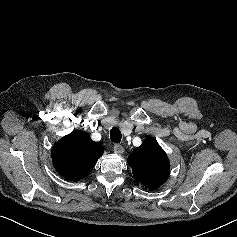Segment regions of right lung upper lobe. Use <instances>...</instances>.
Wrapping results in <instances>:
<instances>
[{
	"instance_id": "right-lung-upper-lobe-1",
	"label": "right lung upper lobe",
	"mask_w": 237,
	"mask_h": 237,
	"mask_svg": "<svg viewBox=\"0 0 237 237\" xmlns=\"http://www.w3.org/2000/svg\"><path fill=\"white\" fill-rule=\"evenodd\" d=\"M103 151V146L86 132L73 131L53 146V165L63 177L80 180L92 171Z\"/></svg>"
}]
</instances>
